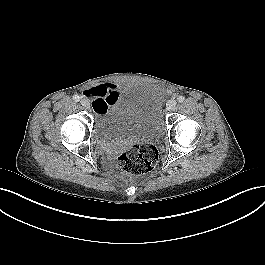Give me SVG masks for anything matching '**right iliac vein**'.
I'll use <instances>...</instances> for the list:
<instances>
[{"label":"right iliac vein","mask_w":265,"mask_h":265,"mask_svg":"<svg viewBox=\"0 0 265 265\" xmlns=\"http://www.w3.org/2000/svg\"><path fill=\"white\" fill-rule=\"evenodd\" d=\"M81 105L85 107L86 109L90 108V102L87 99H82L81 100Z\"/></svg>","instance_id":"right-iliac-vein-1"}]
</instances>
